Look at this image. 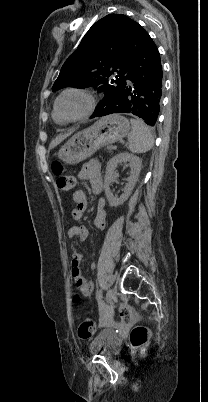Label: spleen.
Segmentation results:
<instances>
[{
	"instance_id": "spleen-1",
	"label": "spleen",
	"mask_w": 208,
	"mask_h": 402,
	"mask_svg": "<svg viewBox=\"0 0 208 402\" xmlns=\"http://www.w3.org/2000/svg\"><path fill=\"white\" fill-rule=\"evenodd\" d=\"M132 132L128 136V150L133 154H144L151 150L154 140L150 128L142 120H130Z\"/></svg>"
}]
</instances>
